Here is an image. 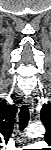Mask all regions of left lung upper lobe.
Segmentation results:
<instances>
[{
	"instance_id": "obj_1",
	"label": "left lung upper lobe",
	"mask_w": 51,
	"mask_h": 150,
	"mask_svg": "<svg viewBox=\"0 0 51 150\" xmlns=\"http://www.w3.org/2000/svg\"><path fill=\"white\" fill-rule=\"evenodd\" d=\"M40 118L42 123L46 127V135H45V141L47 143H51V104H44L41 113H40Z\"/></svg>"
}]
</instances>
